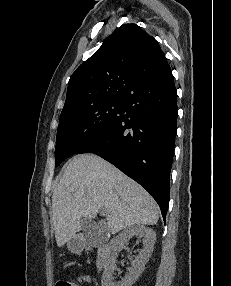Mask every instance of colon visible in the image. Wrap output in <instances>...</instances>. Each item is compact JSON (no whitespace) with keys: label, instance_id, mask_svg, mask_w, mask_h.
<instances>
[{"label":"colon","instance_id":"5ec220e1","mask_svg":"<svg viewBox=\"0 0 231 286\" xmlns=\"http://www.w3.org/2000/svg\"><path fill=\"white\" fill-rule=\"evenodd\" d=\"M56 286H78V284L73 281H60Z\"/></svg>","mask_w":231,"mask_h":286}]
</instances>
